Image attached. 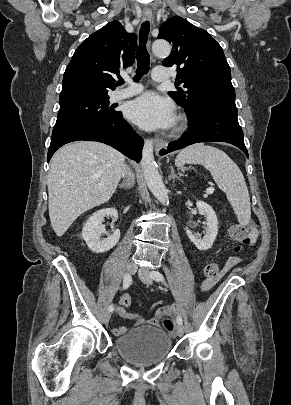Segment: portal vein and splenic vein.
Returning a JSON list of instances; mask_svg holds the SVG:
<instances>
[{"mask_svg":"<svg viewBox=\"0 0 291 405\" xmlns=\"http://www.w3.org/2000/svg\"><path fill=\"white\" fill-rule=\"evenodd\" d=\"M214 192V188L213 187H209L206 189V193L207 194H212Z\"/></svg>","mask_w":291,"mask_h":405,"instance_id":"18ae733b","label":"portal vein and splenic vein"}]
</instances>
